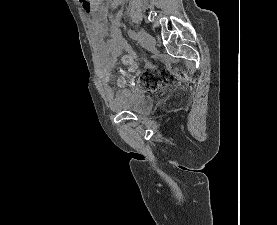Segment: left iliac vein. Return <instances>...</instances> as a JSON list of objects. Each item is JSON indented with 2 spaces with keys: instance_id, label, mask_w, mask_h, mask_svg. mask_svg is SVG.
Returning a JSON list of instances; mask_svg holds the SVG:
<instances>
[{
  "instance_id": "left-iliac-vein-1",
  "label": "left iliac vein",
  "mask_w": 277,
  "mask_h": 225,
  "mask_svg": "<svg viewBox=\"0 0 277 225\" xmlns=\"http://www.w3.org/2000/svg\"><path fill=\"white\" fill-rule=\"evenodd\" d=\"M137 39L140 45L146 49H153L156 46L155 38L144 30L138 31Z\"/></svg>"
}]
</instances>
